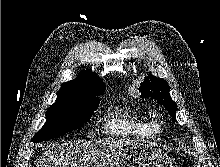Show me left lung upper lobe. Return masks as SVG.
I'll return each instance as SVG.
<instances>
[{
	"mask_svg": "<svg viewBox=\"0 0 220 167\" xmlns=\"http://www.w3.org/2000/svg\"><path fill=\"white\" fill-rule=\"evenodd\" d=\"M141 97H151L161 105L167 108L173 121H176L177 105L171 99L169 91L170 87L168 83L161 78H157L148 74V77L140 84Z\"/></svg>",
	"mask_w": 220,
	"mask_h": 167,
	"instance_id": "left-lung-upper-lobe-1",
	"label": "left lung upper lobe"
}]
</instances>
